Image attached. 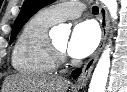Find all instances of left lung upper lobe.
Masks as SVG:
<instances>
[{
	"instance_id": "obj_1",
	"label": "left lung upper lobe",
	"mask_w": 127,
	"mask_h": 92,
	"mask_svg": "<svg viewBox=\"0 0 127 92\" xmlns=\"http://www.w3.org/2000/svg\"><path fill=\"white\" fill-rule=\"evenodd\" d=\"M55 0H26L19 13L11 34L10 43L13 42L23 25L32 17L38 10L46 5L53 3Z\"/></svg>"
}]
</instances>
